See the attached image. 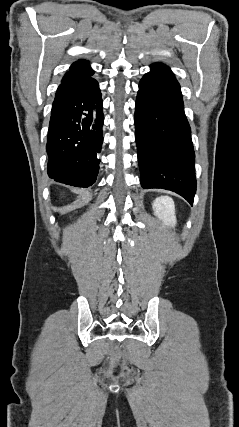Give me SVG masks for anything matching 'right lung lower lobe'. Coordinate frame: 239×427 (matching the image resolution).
I'll return each instance as SVG.
<instances>
[{
    "label": "right lung lower lobe",
    "mask_w": 239,
    "mask_h": 427,
    "mask_svg": "<svg viewBox=\"0 0 239 427\" xmlns=\"http://www.w3.org/2000/svg\"><path fill=\"white\" fill-rule=\"evenodd\" d=\"M93 72L62 80L53 102L47 137L48 175L89 187L99 172L103 143L102 97Z\"/></svg>",
    "instance_id": "98d812e1"
}]
</instances>
